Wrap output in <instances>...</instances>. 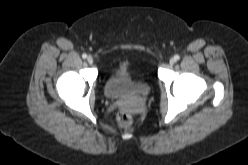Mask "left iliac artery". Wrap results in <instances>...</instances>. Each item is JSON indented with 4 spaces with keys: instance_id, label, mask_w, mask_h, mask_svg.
I'll list each match as a JSON object with an SVG mask.
<instances>
[{
    "instance_id": "1",
    "label": "left iliac artery",
    "mask_w": 248,
    "mask_h": 165,
    "mask_svg": "<svg viewBox=\"0 0 248 165\" xmlns=\"http://www.w3.org/2000/svg\"><path fill=\"white\" fill-rule=\"evenodd\" d=\"M174 59L177 61V60L180 59V56H179V55H175V56H174Z\"/></svg>"
}]
</instances>
